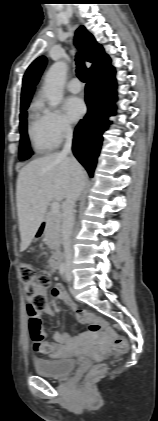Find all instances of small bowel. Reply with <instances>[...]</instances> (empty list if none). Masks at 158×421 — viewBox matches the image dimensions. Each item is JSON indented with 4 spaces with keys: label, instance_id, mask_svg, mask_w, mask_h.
Listing matches in <instances>:
<instances>
[{
    "label": "small bowel",
    "instance_id": "obj_1",
    "mask_svg": "<svg viewBox=\"0 0 158 421\" xmlns=\"http://www.w3.org/2000/svg\"><path fill=\"white\" fill-rule=\"evenodd\" d=\"M51 298L52 303L46 304V306L42 309V311L47 314H52L53 305L57 301H62L76 313L79 325L87 324V319L93 316L85 310L78 309L61 284H56L53 287L51 291ZM29 332L34 351L40 354L49 355L52 358H60L68 355L69 350L64 346V344L80 345L87 339V336H75L74 331L72 330L66 332H54L51 334L52 340L50 341L49 334H47L44 330L41 321L38 325H33L31 321H29ZM111 344V336L104 334L101 342L95 348V352L104 354L109 350V346Z\"/></svg>",
    "mask_w": 158,
    "mask_h": 421
}]
</instances>
